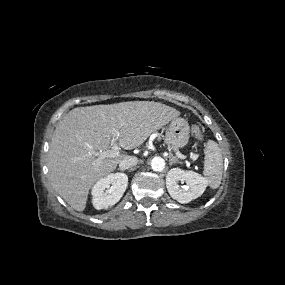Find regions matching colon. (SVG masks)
I'll return each mask as SVG.
<instances>
[{
	"instance_id": "obj_1",
	"label": "colon",
	"mask_w": 285,
	"mask_h": 285,
	"mask_svg": "<svg viewBox=\"0 0 285 285\" xmlns=\"http://www.w3.org/2000/svg\"><path fill=\"white\" fill-rule=\"evenodd\" d=\"M192 134L196 137V138H202V131L201 129L197 126V125H194L192 127Z\"/></svg>"
}]
</instances>
